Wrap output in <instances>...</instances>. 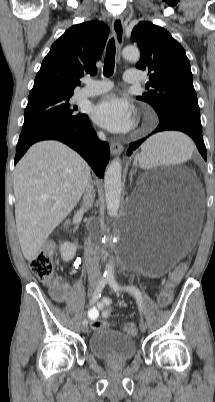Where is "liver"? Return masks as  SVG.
Listing matches in <instances>:
<instances>
[{
	"mask_svg": "<svg viewBox=\"0 0 215 402\" xmlns=\"http://www.w3.org/2000/svg\"><path fill=\"white\" fill-rule=\"evenodd\" d=\"M188 139V138H187ZM91 168L58 141L32 145L14 170L15 218L24 258L34 260L52 231L77 205Z\"/></svg>",
	"mask_w": 215,
	"mask_h": 402,
	"instance_id": "1",
	"label": "liver"
}]
</instances>
